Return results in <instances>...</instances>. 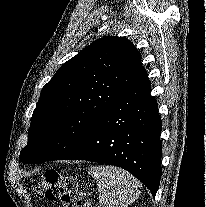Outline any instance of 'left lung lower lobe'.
<instances>
[{
  "label": "left lung lower lobe",
  "instance_id": "left-lung-lower-lobe-1",
  "mask_svg": "<svg viewBox=\"0 0 206 207\" xmlns=\"http://www.w3.org/2000/svg\"><path fill=\"white\" fill-rule=\"evenodd\" d=\"M146 70L107 108L86 142L64 159L121 167L149 188L153 197L161 178L162 122L151 96Z\"/></svg>",
  "mask_w": 206,
  "mask_h": 207
}]
</instances>
